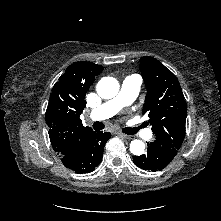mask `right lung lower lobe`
<instances>
[{
    "label": "right lung lower lobe",
    "mask_w": 221,
    "mask_h": 221,
    "mask_svg": "<svg viewBox=\"0 0 221 221\" xmlns=\"http://www.w3.org/2000/svg\"><path fill=\"white\" fill-rule=\"evenodd\" d=\"M110 137L109 132H92L83 149L79 153L63 156L62 163L78 174L93 171L101 163L106 141Z\"/></svg>",
    "instance_id": "right-lung-lower-lobe-1"
}]
</instances>
